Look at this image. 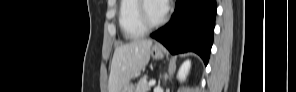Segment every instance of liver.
Listing matches in <instances>:
<instances>
[{
    "mask_svg": "<svg viewBox=\"0 0 296 92\" xmlns=\"http://www.w3.org/2000/svg\"><path fill=\"white\" fill-rule=\"evenodd\" d=\"M150 39H135L116 47L111 63L108 90L121 92L130 80L149 62Z\"/></svg>",
    "mask_w": 296,
    "mask_h": 92,
    "instance_id": "6515ba94",
    "label": "liver"
}]
</instances>
